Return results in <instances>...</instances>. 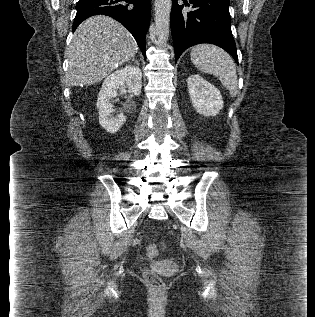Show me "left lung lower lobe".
<instances>
[{
	"label": "left lung lower lobe",
	"instance_id": "left-lung-lower-lobe-1",
	"mask_svg": "<svg viewBox=\"0 0 315 317\" xmlns=\"http://www.w3.org/2000/svg\"><path fill=\"white\" fill-rule=\"evenodd\" d=\"M193 10L187 11L172 1L170 25L175 62L189 47L211 43L227 51L238 64L237 48L231 32L229 0H189ZM185 5H188L185 3Z\"/></svg>",
	"mask_w": 315,
	"mask_h": 317
}]
</instances>
